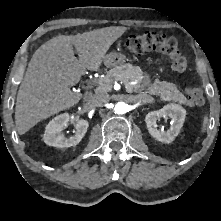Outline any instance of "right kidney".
Masks as SVG:
<instances>
[{"label": "right kidney", "mask_w": 221, "mask_h": 221, "mask_svg": "<svg viewBox=\"0 0 221 221\" xmlns=\"http://www.w3.org/2000/svg\"><path fill=\"white\" fill-rule=\"evenodd\" d=\"M69 120L68 113H63L53 118L45 128L44 142L49 146L59 148L76 146L87 132L89 123L84 119L77 120L74 125L76 128L75 134L66 138L61 132L67 126Z\"/></svg>", "instance_id": "ca27d5eb"}]
</instances>
